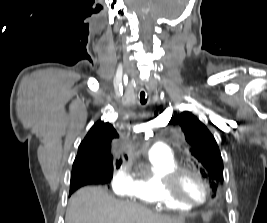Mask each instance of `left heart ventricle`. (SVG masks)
Wrapping results in <instances>:
<instances>
[{
    "instance_id": "b2bd125f",
    "label": "left heart ventricle",
    "mask_w": 267,
    "mask_h": 223,
    "mask_svg": "<svg viewBox=\"0 0 267 223\" xmlns=\"http://www.w3.org/2000/svg\"><path fill=\"white\" fill-rule=\"evenodd\" d=\"M179 191L185 198L192 201H201L205 195L203 184L196 176L189 173L182 176Z\"/></svg>"
}]
</instances>
